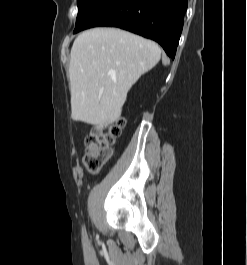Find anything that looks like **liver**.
<instances>
[{
	"label": "liver",
	"instance_id": "6515ba94",
	"mask_svg": "<svg viewBox=\"0 0 247 265\" xmlns=\"http://www.w3.org/2000/svg\"><path fill=\"white\" fill-rule=\"evenodd\" d=\"M161 58L150 40L115 28L82 32L70 53L72 118L97 130L117 121L127 93Z\"/></svg>",
	"mask_w": 247,
	"mask_h": 265
}]
</instances>
